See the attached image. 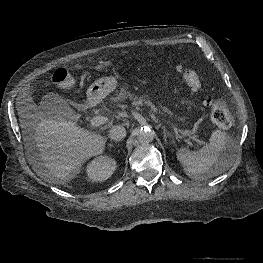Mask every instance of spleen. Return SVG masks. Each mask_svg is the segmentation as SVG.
Here are the masks:
<instances>
[{
    "label": "spleen",
    "mask_w": 263,
    "mask_h": 263,
    "mask_svg": "<svg viewBox=\"0 0 263 263\" xmlns=\"http://www.w3.org/2000/svg\"><path fill=\"white\" fill-rule=\"evenodd\" d=\"M234 142L228 140L221 130L212 132L209 143L200 150L190 152L180 148L176 152L178 161L185 173L191 179H199L209 175V170L215 167L217 172L228 169L233 161Z\"/></svg>",
    "instance_id": "1"
}]
</instances>
